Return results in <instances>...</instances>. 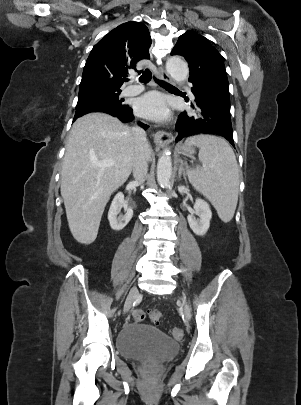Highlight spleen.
<instances>
[{
    "instance_id": "obj_1",
    "label": "spleen",
    "mask_w": 301,
    "mask_h": 405,
    "mask_svg": "<svg viewBox=\"0 0 301 405\" xmlns=\"http://www.w3.org/2000/svg\"><path fill=\"white\" fill-rule=\"evenodd\" d=\"M185 144L199 148L197 167L188 175L192 186L213 204L220 219L229 222L235 213L239 190V168L228 143L210 135L192 136Z\"/></svg>"
}]
</instances>
